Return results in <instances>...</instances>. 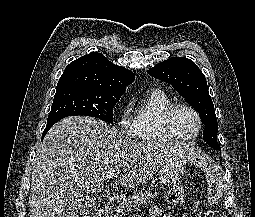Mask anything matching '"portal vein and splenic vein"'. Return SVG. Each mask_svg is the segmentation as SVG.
<instances>
[{"mask_svg":"<svg viewBox=\"0 0 255 217\" xmlns=\"http://www.w3.org/2000/svg\"><path fill=\"white\" fill-rule=\"evenodd\" d=\"M114 176H116V174L112 172V173H110L109 175H107L106 179H111V178H113Z\"/></svg>","mask_w":255,"mask_h":217,"instance_id":"18ae733b","label":"portal vein and splenic vein"}]
</instances>
